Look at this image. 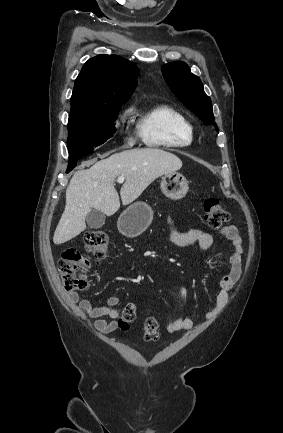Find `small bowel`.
Masks as SVG:
<instances>
[{"label": "small bowel", "instance_id": "small-bowel-1", "mask_svg": "<svg viewBox=\"0 0 283 433\" xmlns=\"http://www.w3.org/2000/svg\"><path fill=\"white\" fill-rule=\"evenodd\" d=\"M167 224L169 239L176 246L197 245L201 249L207 250L214 245V237L207 232L200 229L180 231L171 217L168 218ZM221 234L230 242L232 250L228 257V271L219 281L215 306L205 315L206 319L209 320L216 317L226 307L230 299V291L241 275L242 239L238 229L234 225H227L221 229ZM69 299L77 305L80 311L94 319V328L97 331L108 334L117 329L119 312L115 307L120 302L118 296H110L106 304L101 306H94L89 300L80 299L75 292L70 294ZM193 325L194 322L191 318L179 317L169 322L166 329L170 333H175L188 331Z\"/></svg>", "mask_w": 283, "mask_h": 433}]
</instances>
